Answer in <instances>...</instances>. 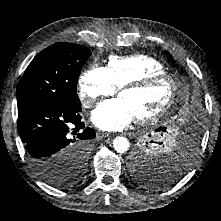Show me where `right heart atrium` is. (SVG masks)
<instances>
[{
  "mask_svg": "<svg viewBox=\"0 0 221 221\" xmlns=\"http://www.w3.org/2000/svg\"><path fill=\"white\" fill-rule=\"evenodd\" d=\"M116 90L107 68L100 65H92L79 78V98L87 108L94 106L100 98L115 94Z\"/></svg>",
  "mask_w": 221,
  "mask_h": 221,
  "instance_id": "obj_1",
  "label": "right heart atrium"
}]
</instances>
